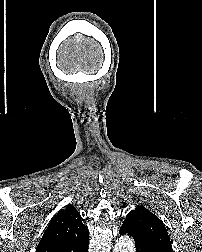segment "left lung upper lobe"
Instances as JSON below:
<instances>
[{
    "instance_id": "left-lung-upper-lobe-1",
    "label": "left lung upper lobe",
    "mask_w": 202,
    "mask_h": 252,
    "mask_svg": "<svg viewBox=\"0 0 202 252\" xmlns=\"http://www.w3.org/2000/svg\"><path fill=\"white\" fill-rule=\"evenodd\" d=\"M122 225L129 227L136 249L146 252H173L163 222L145 207L138 206L130 211Z\"/></svg>"
}]
</instances>
